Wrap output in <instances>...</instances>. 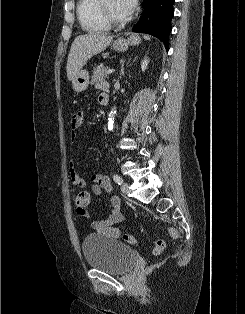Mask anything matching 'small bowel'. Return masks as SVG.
Returning <instances> with one entry per match:
<instances>
[{"label":"small bowel","mask_w":245,"mask_h":314,"mask_svg":"<svg viewBox=\"0 0 245 314\" xmlns=\"http://www.w3.org/2000/svg\"><path fill=\"white\" fill-rule=\"evenodd\" d=\"M97 86L101 89L106 88V84L100 83ZM103 94V93H102ZM101 95V94H100ZM98 97V101L104 104ZM84 114L83 111L77 110L73 113L70 121L71 135L70 139L72 143L77 141V130L83 123ZM69 174L71 182L74 186L83 188L86 186V180L82 177L77 170L73 162L69 166ZM93 183L90 187V191L93 195H100L103 191L106 193L112 192V184L110 179L105 175H92ZM111 209L106 217L100 221H93L90 224V229L96 233L104 235L109 238L118 239L121 235V229L116 226L124 218V213L121 210V201L118 196L112 195L110 198ZM84 218H91L90 212L87 210L85 213H79Z\"/></svg>","instance_id":"small-bowel-1"}]
</instances>
